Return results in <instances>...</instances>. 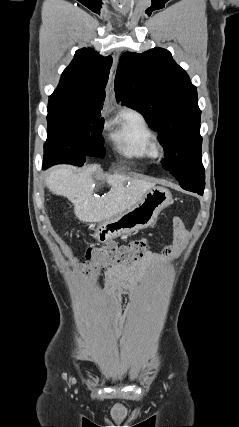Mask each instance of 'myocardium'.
<instances>
[{
  "label": "myocardium",
  "instance_id": "f54148a6",
  "mask_svg": "<svg viewBox=\"0 0 239 427\" xmlns=\"http://www.w3.org/2000/svg\"><path fill=\"white\" fill-rule=\"evenodd\" d=\"M157 153H158L160 156H164V155H165V150H164V149H158Z\"/></svg>",
  "mask_w": 239,
  "mask_h": 427
}]
</instances>
